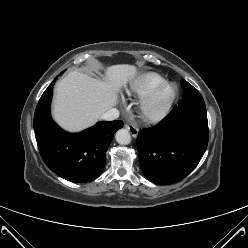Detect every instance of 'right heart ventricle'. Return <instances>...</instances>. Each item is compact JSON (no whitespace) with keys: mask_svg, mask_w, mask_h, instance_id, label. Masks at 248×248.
Instances as JSON below:
<instances>
[{"mask_svg":"<svg viewBox=\"0 0 248 248\" xmlns=\"http://www.w3.org/2000/svg\"><path fill=\"white\" fill-rule=\"evenodd\" d=\"M164 81L165 80L161 75L149 72L134 79L129 86L128 93L138 97H143L150 90Z\"/></svg>","mask_w":248,"mask_h":248,"instance_id":"right-heart-ventricle-1","label":"right heart ventricle"}]
</instances>
